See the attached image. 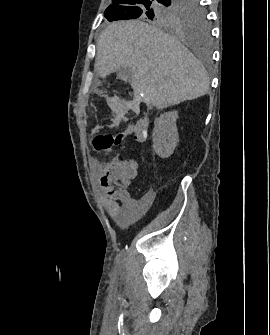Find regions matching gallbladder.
<instances>
[{"label":"gallbladder","mask_w":270,"mask_h":335,"mask_svg":"<svg viewBox=\"0 0 270 335\" xmlns=\"http://www.w3.org/2000/svg\"><path fill=\"white\" fill-rule=\"evenodd\" d=\"M117 78H119V80H123V82H130V80H132L131 68H128V66L119 68V70H117Z\"/></svg>","instance_id":"1"}]
</instances>
